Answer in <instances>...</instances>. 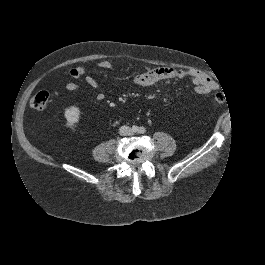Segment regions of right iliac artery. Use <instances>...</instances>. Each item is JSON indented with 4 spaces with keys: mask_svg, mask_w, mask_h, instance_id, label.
<instances>
[{
    "mask_svg": "<svg viewBox=\"0 0 265 265\" xmlns=\"http://www.w3.org/2000/svg\"><path fill=\"white\" fill-rule=\"evenodd\" d=\"M132 131L135 132V133L138 132V127L137 126H133L132 127Z\"/></svg>",
    "mask_w": 265,
    "mask_h": 265,
    "instance_id": "1",
    "label": "right iliac artery"
}]
</instances>
